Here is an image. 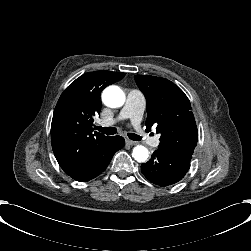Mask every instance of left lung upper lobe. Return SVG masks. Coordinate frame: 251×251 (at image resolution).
Masks as SVG:
<instances>
[{
    "mask_svg": "<svg viewBox=\"0 0 251 251\" xmlns=\"http://www.w3.org/2000/svg\"><path fill=\"white\" fill-rule=\"evenodd\" d=\"M134 79L147 101L146 130L156 126L161 134L159 149L192 156L198 132L185 93L165 78L135 75Z\"/></svg>",
    "mask_w": 251,
    "mask_h": 251,
    "instance_id": "1",
    "label": "left lung upper lobe"
}]
</instances>
